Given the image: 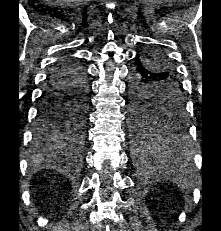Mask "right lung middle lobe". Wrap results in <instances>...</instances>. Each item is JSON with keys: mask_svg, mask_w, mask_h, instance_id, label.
Segmentation results:
<instances>
[{"mask_svg": "<svg viewBox=\"0 0 221 231\" xmlns=\"http://www.w3.org/2000/svg\"><path fill=\"white\" fill-rule=\"evenodd\" d=\"M87 106L88 99L82 97L48 105L43 113V127L36 139L51 145L59 144L61 139L81 142Z\"/></svg>", "mask_w": 221, "mask_h": 231, "instance_id": "right-lung-middle-lobe-1", "label": "right lung middle lobe"}]
</instances>
